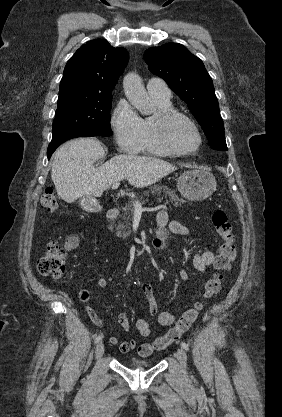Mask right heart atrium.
<instances>
[{"label":"right heart atrium","mask_w":282,"mask_h":417,"mask_svg":"<svg viewBox=\"0 0 282 417\" xmlns=\"http://www.w3.org/2000/svg\"><path fill=\"white\" fill-rule=\"evenodd\" d=\"M116 142L126 153H138L143 149L144 130L142 118L125 101L119 102L111 118Z\"/></svg>","instance_id":"obj_1"}]
</instances>
